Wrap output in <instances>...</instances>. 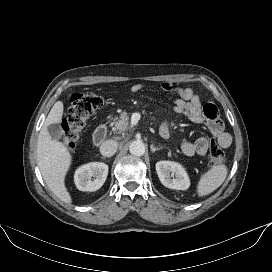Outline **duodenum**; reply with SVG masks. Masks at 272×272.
<instances>
[{
	"mask_svg": "<svg viewBox=\"0 0 272 272\" xmlns=\"http://www.w3.org/2000/svg\"><path fill=\"white\" fill-rule=\"evenodd\" d=\"M107 128L105 125L98 126L92 135V140L95 145H100L106 138Z\"/></svg>",
	"mask_w": 272,
	"mask_h": 272,
	"instance_id": "1",
	"label": "duodenum"
}]
</instances>
